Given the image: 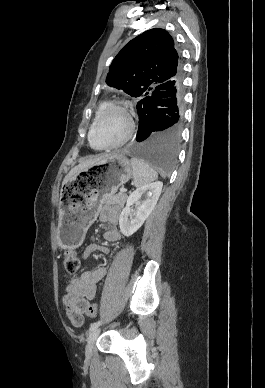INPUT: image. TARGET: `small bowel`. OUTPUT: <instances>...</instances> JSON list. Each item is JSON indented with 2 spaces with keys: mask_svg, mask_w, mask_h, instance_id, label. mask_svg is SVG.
<instances>
[{
  "mask_svg": "<svg viewBox=\"0 0 265 388\" xmlns=\"http://www.w3.org/2000/svg\"><path fill=\"white\" fill-rule=\"evenodd\" d=\"M121 216V209L117 206H104L99 212V219L108 223L109 227L104 233L107 242H117L121 238V233L117 227ZM108 253L109 249L98 244L88 245L83 253L84 258H88L94 252ZM106 274V269L98 267L94 270L84 271L77 278H69L65 275L66 291L63 297V305L69 321L75 327L83 324L84 315L88 307L96 296L97 283Z\"/></svg>",
  "mask_w": 265,
  "mask_h": 388,
  "instance_id": "c3829d8e",
  "label": "small bowel"
}]
</instances>
